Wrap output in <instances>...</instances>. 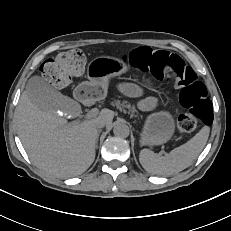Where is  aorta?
Here are the masks:
<instances>
[{
    "instance_id": "1",
    "label": "aorta",
    "mask_w": 231,
    "mask_h": 231,
    "mask_svg": "<svg viewBox=\"0 0 231 231\" xmlns=\"http://www.w3.org/2000/svg\"><path fill=\"white\" fill-rule=\"evenodd\" d=\"M113 133L119 138H126L129 136V127L124 123H117L114 126Z\"/></svg>"
}]
</instances>
